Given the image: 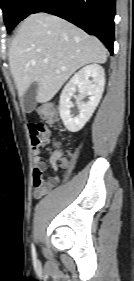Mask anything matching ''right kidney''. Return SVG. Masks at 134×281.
Segmentation results:
<instances>
[{
  "mask_svg": "<svg viewBox=\"0 0 134 281\" xmlns=\"http://www.w3.org/2000/svg\"><path fill=\"white\" fill-rule=\"evenodd\" d=\"M89 78H92L90 80ZM105 85V73L103 67L91 64L83 67L66 84L60 95L59 113L65 127L71 132H77L83 128L90 119L102 97ZM76 90L80 95L77 106V116L71 114L70 108L74 106L71 98L75 96ZM86 96L89 101L83 102Z\"/></svg>",
  "mask_w": 134,
  "mask_h": 281,
  "instance_id": "1",
  "label": "right kidney"
}]
</instances>
